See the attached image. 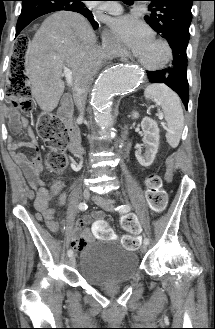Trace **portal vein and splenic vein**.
Wrapping results in <instances>:
<instances>
[{"mask_svg":"<svg viewBox=\"0 0 215 329\" xmlns=\"http://www.w3.org/2000/svg\"><path fill=\"white\" fill-rule=\"evenodd\" d=\"M63 74L66 77V80L68 82V84L72 83V72L70 69H68L67 67H64L63 69ZM159 119H163V115H159Z\"/></svg>","mask_w":215,"mask_h":329,"instance_id":"1","label":"portal vein and splenic vein"}]
</instances>
